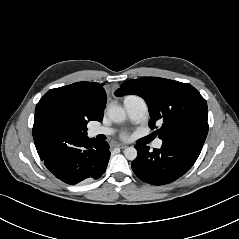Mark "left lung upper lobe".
Segmentation results:
<instances>
[{
	"label": "left lung upper lobe",
	"instance_id": "5c2ea615",
	"mask_svg": "<svg viewBox=\"0 0 239 239\" xmlns=\"http://www.w3.org/2000/svg\"><path fill=\"white\" fill-rule=\"evenodd\" d=\"M128 94L146 101L151 128L158 120L163 123L155 131L160 139L201 152L208 133V113L206 100L197 89L165 78L141 77L125 81L115 91L116 96Z\"/></svg>",
	"mask_w": 239,
	"mask_h": 239
}]
</instances>
